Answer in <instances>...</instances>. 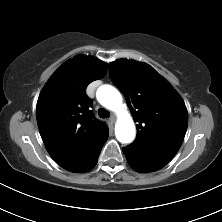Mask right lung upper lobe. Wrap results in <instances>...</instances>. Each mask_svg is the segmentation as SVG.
I'll return each instance as SVG.
<instances>
[{"label":"right lung upper lobe","instance_id":"obj_1","mask_svg":"<svg viewBox=\"0 0 222 222\" xmlns=\"http://www.w3.org/2000/svg\"><path fill=\"white\" fill-rule=\"evenodd\" d=\"M107 64L78 55L50 77L36 108L38 127L54 161L71 172H86L108 139L105 123L94 118L86 87L104 77Z\"/></svg>","mask_w":222,"mask_h":222}]
</instances>
